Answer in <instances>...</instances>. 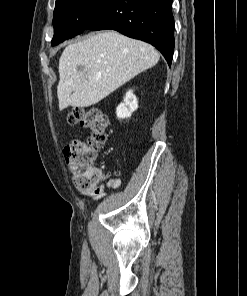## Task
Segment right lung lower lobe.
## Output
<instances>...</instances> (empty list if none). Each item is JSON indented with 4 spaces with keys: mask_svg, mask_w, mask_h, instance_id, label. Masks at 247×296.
<instances>
[{
    "mask_svg": "<svg viewBox=\"0 0 247 296\" xmlns=\"http://www.w3.org/2000/svg\"><path fill=\"white\" fill-rule=\"evenodd\" d=\"M173 0H106L96 7L85 30L113 29L152 44L171 65L174 52Z\"/></svg>",
    "mask_w": 247,
    "mask_h": 296,
    "instance_id": "1",
    "label": "right lung lower lobe"
}]
</instances>
